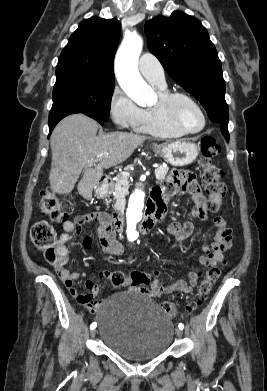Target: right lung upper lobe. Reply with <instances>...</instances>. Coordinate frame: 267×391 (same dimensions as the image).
I'll return each instance as SVG.
<instances>
[{
    "label": "right lung upper lobe",
    "mask_w": 267,
    "mask_h": 391,
    "mask_svg": "<svg viewBox=\"0 0 267 391\" xmlns=\"http://www.w3.org/2000/svg\"><path fill=\"white\" fill-rule=\"evenodd\" d=\"M121 32L116 19L91 17L70 36L56 66V77L70 73L114 76L113 63Z\"/></svg>",
    "instance_id": "cb5924a9"
}]
</instances>
